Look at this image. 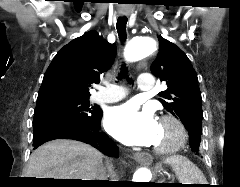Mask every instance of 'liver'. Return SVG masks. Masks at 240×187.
Returning a JSON list of instances; mask_svg holds the SVG:
<instances>
[{
  "label": "liver",
  "mask_w": 240,
  "mask_h": 187,
  "mask_svg": "<svg viewBox=\"0 0 240 187\" xmlns=\"http://www.w3.org/2000/svg\"><path fill=\"white\" fill-rule=\"evenodd\" d=\"M103 155L79 141L58 139L37 148L30 156L27 178L96 180Z\"/></svg>",
  "instance_id": "6515ba94"
}]
</instances>
